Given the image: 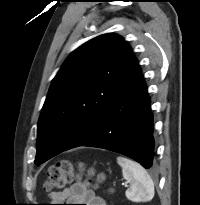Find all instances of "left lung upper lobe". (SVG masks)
Listing matches in <instances>:
<instances>
[{
	"instance_id": "left-lung-upper-lobe-1",
	"label": "left lung upper lobe",
	"mask_w": 200,
	"mask_h": 205,
	"mask_svg": "<svg viewBox=\"0 0 200 205\" xmlns=\"http://www.w3.org/2000/svg\"><path fill=\"white\" fill-rule=\"evenodd\" d=\"M116 34L77 48L53 79L37 125V165L85 141L110 105L132 59Z\"/></svg>"
}]
</instances>
